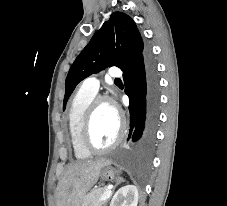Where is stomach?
<instances>
[{"instance_id": "1", "label": "stomach", "mask_w": 227, "mask_h": 206, "mask_svg": "<svg viewBox=\"0 0 227 206\" xmlns=\"http://www.w3.org/2000/svg\"><path fill=\"white\" fill-rule=\"evenodd\" d=\"M118 175H119V170L112 167L110 161H108V163H106L100 171V177L105 181H112Z\"/></svg>"}]
</instances>
